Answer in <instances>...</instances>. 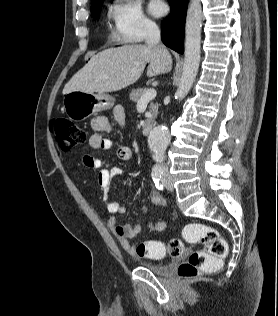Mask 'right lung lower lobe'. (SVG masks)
I'll return each instance as SVG.
<instances>
[{"mask_svg":"<svg viewBox=\"0 0 278 316\" xmlns=\"http://www.w3.org/2000/svg\"><path fill=\"white\" fill-rule=\"evenodd\" d=\"M171 14L162 22L163 43L178 53H183V38L188 0H168Z\"/></svg>","mask_w":278,"mask_h":316,"instance_id":"obj_1","label":"right lung lower lobe"}]
</instances>
